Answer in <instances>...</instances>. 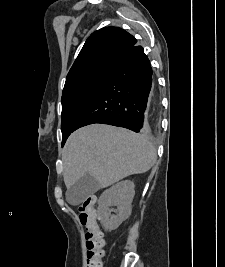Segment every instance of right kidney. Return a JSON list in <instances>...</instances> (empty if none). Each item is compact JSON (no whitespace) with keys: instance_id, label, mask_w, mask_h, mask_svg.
Returning <instances> with one entry per match:
<instances>
[{"instance_id":"right-kidney-1","label":"right kidney","mask_w":225,"mask_h":267,"mask_svg":"<svg viewBox=\"0 0 225 267\" xmlns=\"http://www.w3.org/2000/svg\"><path fill=\"white\" fill-rule=\"evenodd\" d=\"M134 183L130 180L121 181L105 190L98 201V220L107 231L115 230L132 211L135 195ZM117 206V214H111L110 206Z\"/></svg>"}]
</instances>
